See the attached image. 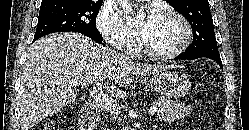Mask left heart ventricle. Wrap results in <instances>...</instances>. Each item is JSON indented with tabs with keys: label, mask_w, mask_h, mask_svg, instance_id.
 I'll list each match as a JSON object with an SVG mask.
<instances>
[{
	"label": "left heart ventricle",
	"mask_w": 249,
	"mask_h": 130,
	"mask_svg": "<svg viewBox=\"0 0 249 130\" xmlns=\"http://www.w3.org/2000/svg\"><path fill=\"white\" fill-rule=\"evenodd\" d=\"M144 21L140 24V29ZM142 39L146 46L154 52H165L173 49L183 37V27L172 17L158 15L145 30Z\"/></svg>",
	"instance_id": "obj_1"
}]
</instances>
